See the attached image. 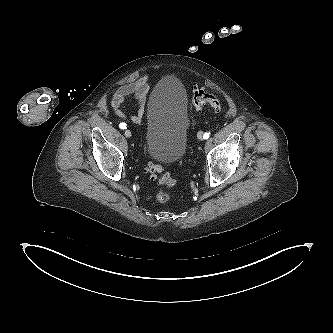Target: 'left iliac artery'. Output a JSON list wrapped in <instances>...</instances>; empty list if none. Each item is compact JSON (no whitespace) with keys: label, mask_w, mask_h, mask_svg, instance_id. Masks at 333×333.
Listing matches in <instances>:
<instances>
[{"label":"left iliac artery","mask_w":333,"mask_h":333,"mask_svg":"<svg viewBox=\"0 0 333 333\" xmlns=\"http://www.w3.org/2000/svg\"><path fill=\"white\" fill-rule=\"evenodd\" d=\"M209 136H210V133L206 132V133H204L203 138H204V139H208Z\"/></svg>","instance_id":"left-iliac-artery-1"}]
</instances>
